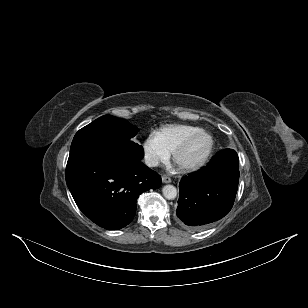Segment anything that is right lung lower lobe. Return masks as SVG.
Wrapping results in <instances>:
<instances>
[{
    "label": "right lung lower lobe",
    "mask_w": 308,
    "mask_h": 308,
    "mask_svg": "<svg viewBox=\"0 0 308 308\" xmlns=\"http://www.w3.org/2000/svg\"><path fill=\"white\" fill-rule=\"evenodd\" d=\"M65 176L79 209L107 230L128 225L135 216L139 195L161 185V177L141 159L119 152L69 156Z\"/></svg>",
    "instance_id": "obj_1"
}]
</instances>
